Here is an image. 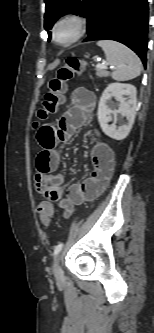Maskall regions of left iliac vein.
I'll return each mask as SVG.
<instances>
[{
  "label": "left iliac vein",
  "mask_w": 154,
  "mask_h": 333,
  "mask_svg": "<svg viewBox=\"0 0 154 333\" xmlns=\"http://www.w3.org/2000/svg\"><path fill=\"white\" fill-rule=\"evenodd\" d=\"M59 262H60V255H57V257L55 258L53 271H54V276L58 281L63 278V272L62 269L60 268Z\"/></svg>",
  "instance_id": "obj_1"
}]
</instances>
